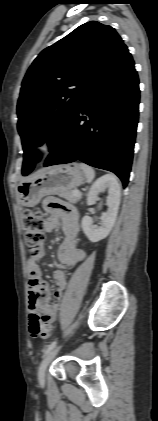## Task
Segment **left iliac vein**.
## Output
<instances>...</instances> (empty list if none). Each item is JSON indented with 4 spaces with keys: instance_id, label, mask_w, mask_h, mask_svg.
I'll return each instance as SVG.
<instances>
[{
    "instance_id": "left-iliac-vein-1",
    "label": "left iliac vein",
    "mask_w": 158,
    "mask_h": 421,
    "mask_svg": "<svg viewBox=\"0 0 158 421\" xmlns=\"http://www.w3.org/2000/svg\"><path fill=\"white\" fill-rule=\"evenodd\" d=\"M58 350H59V347L53 349L42 360L38 369V380L41 384L45 382V374H46L47 367L49 366L53 358L56 356Z\"/></svg>"
}]
</instances>
